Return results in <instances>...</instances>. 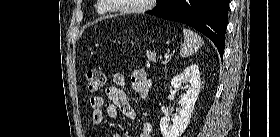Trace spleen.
I'll list each match as a JSON object with an SVG mask.
<instances>
[{
  "mask_svg": "<svg viewBox=\"0 0 280 137\" xmlns=\"http://www.w3.org/2000/svg\"><path fill=\"white\" fill-rule=\"evenodd\" d=\"M184 44L181 46V57H188L196 52L203 45L202 38L189 29H183Z\"/></svg>",
  "mask_w": 280,
  "mask_h": 137,
  "instance_id": "3e777b00",
  "label": "spleen"
}]
</instances>
